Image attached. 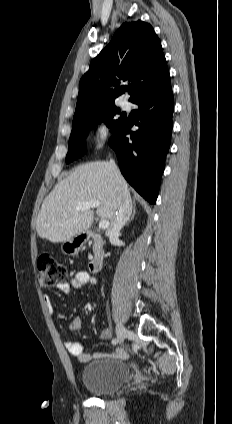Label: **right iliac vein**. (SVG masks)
I'll use <instances>...</instances> for the list:
<instances>
[{"instance_id":"63e3f726","label":"right iliac vein","mask_w":232,"mask_h":424,"mask_svg":"<svg viewBox=\"0 0 232 424\" xmlns=\"http://www.w3.org/2000/svg\"><path fill=\"white\" fill-rule=\"evenodd\" d=\"M116 333L118 342L122 343L129 332L122 324H117Z\"/></svg>"}]
</instances>
